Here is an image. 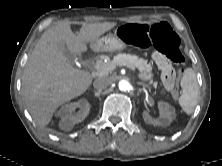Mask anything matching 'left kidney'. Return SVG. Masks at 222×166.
<instances>
[{"instance_id":"5707ae66","label":"left kidney","mask_w":222,"mask_h":166,"mask_svg":"<svg viewBox=\"0 0 222 166\" xmlns=\"http://www.w3.org/2000/svg\"><path fill=\"white\" fill-rule=\"evenodd\" d=\"M158 108L160 110V116L158 118H152L147 111H144L142 116L148 124L166 127L175 119V109L163 101L158 102Z\"/></svg>"}]
</instances>
